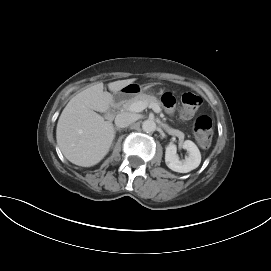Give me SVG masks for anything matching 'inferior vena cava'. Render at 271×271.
<instances>
[{"instance_id":"1","label":"inferior vena cava","mask_w":271,"mask_h":271,"mask_svg":"<svg viewBox=\"0 0 271 271\" xmlns=\"http://www.w3.org/2000/svg\"><path fill=\"white\" fill-rule=\"evenodd\" d=\"M136 121V117L131 113H120L115 118V124L118 128H125Z\"/></svg>"}]
</instances>
